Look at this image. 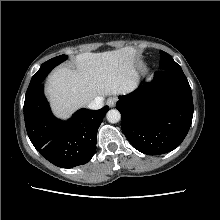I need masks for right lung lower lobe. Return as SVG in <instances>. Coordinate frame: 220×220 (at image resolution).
<instances>
[{"mask_svg": "<svg viewBox=\"0 0 220 220\" xmlns=\"http://www.w3.org/2000/svg\"><path fill=\"white\" fill-rule=\"evenodd\" d=\"M108 110V106L80 109L69 120H58L51 113L40 83L25 95L24 119L37 151L58 167L72 168L87 163L94 155L97 130Z\"/></svg>", "mask_w": 220, "mask_h": 220, "instance_id": "right-lung-lower-lobe-1", "label": "right lung lower lobe"}]
</instances>
